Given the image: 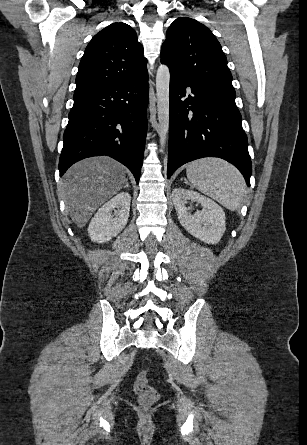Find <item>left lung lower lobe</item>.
I'll use <instances>...</instances> for the list:
<instances>
[{
  "instance_id": "left-lung-lower-lobe-1",
  "label": "left lung lower lobe",
  "mask_w": 307,
  "mask_h": 445,
  "mask_svg": "<svg viewBox=\"0 0 307 445\" xmlns=\"http://www.w3.org/2000/svg\"><path fill=\"white\" fill-rule=\"evenodd\" d=\"M187 87L191 88L188 93ZM203 157L234 164L250 186L252 164L235 100L202 91L170 70L167 177L181 165Z\"/></svg>"
}]
</instances>
